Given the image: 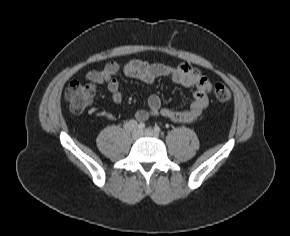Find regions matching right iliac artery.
<instances>
[{
  "label": "right iliac artery",
  "instance_id": "82829eb1",
  "mask_svg": "<svg viewBox=\"0 0 290 236\" xmlns=\"http://www.w3.org/2000/svg\"><path fill=\"white\" fill-rule=\"evenodd\" d=\"M137 128H138L140 131H142L143 129H145V124H144V123H139V124L137 125Z\"/></svg>",
  "mask_w": 290,
  "mask_h": 236
}]
</instances>
